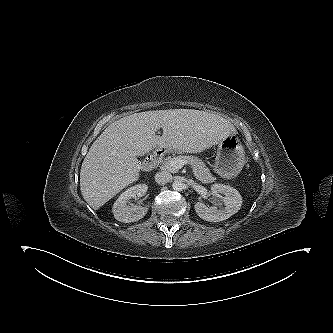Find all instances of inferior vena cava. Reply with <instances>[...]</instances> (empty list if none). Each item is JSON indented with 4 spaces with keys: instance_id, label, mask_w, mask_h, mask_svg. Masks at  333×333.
<instances>
[{
    "instance_id": "602c4592",
    "label": "inferior vena cava",
    "mask_w": 333,
    "mask_h": 333,
    "mask_svg": "<svg viewBox=\"0 0 333 333\" xmlns=\"http://www.w3.org/2000/svg\"><path fill=\"white\" fill-rule=\"evenodd\" d=\"M172 179V175L166 171L157 172L155 175V181L158 184H166Z\"/></svg>"
}]
</instances>
